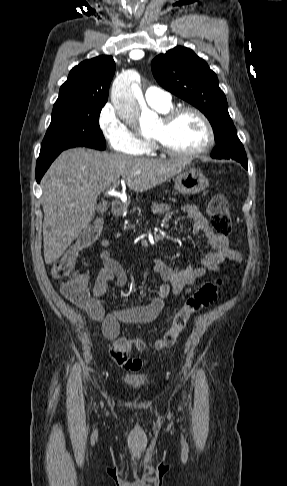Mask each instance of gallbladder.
Segmentation results:
<instances>
[{"label": "gallbladder", "mask_w": 287, "mask_h": 486, "mask_svg": "<svg viewBox=\"0 0 287 486\" xmlns=\"http://www.w3.org/2000/svg\"><path fill=\"white\" fill-rule=\"evenodd\" d=\"M107 208H108V205H107V204L100 203V204L98 205V207H97V211H98L99 213H103V212H105V211L107 210Z\"/></svg>", "instance_id": "gallbladder-1"}]
</instances>
